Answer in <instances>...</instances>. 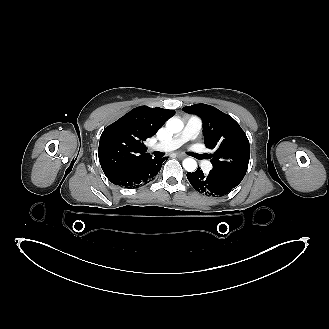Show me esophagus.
Listing matches in <instances>:
<instances>
[{"label": "esophagus", "instance_id": "1", "mask_svg": "<svg viewBox=\"0 0 329 329\" xmlns=\"http://www.w3.org/2000/svg\"><path fill=\"white\" fill-rule=\"evenodd\" d=\"M177 157L180 158V159H183V158H185L186 156L183 155V154H178Z\"/></svg>", "mask_w": 329, "mask_h": 329}]
</instances>
